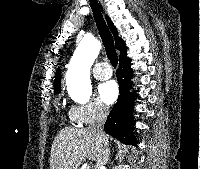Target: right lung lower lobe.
Returning a JSON list of instances; mask_svg holds the SVG:
<instances>
[{"instance_id": "right-lung-lower-lobe-1", "label": "right lung lower lobe", "mask_w": 200, "mask_h": 169, "mask_svg": "<svg viewBox=\"0 0 200 169\" xmlns=\"http://www.w3.org/2000/svg\"><path fill=\"white\" fill-rule=\"evenodd\" d=\"M119 62L116 76L120 86V96L110 111L104 130L125 144L136 145L137 140L133 135L134 120L132 119L134 94L129 91L131 86L130 78L133 72L130 69L131 60L125 56L119 59Z\"/></svg>"}]
</instances>
